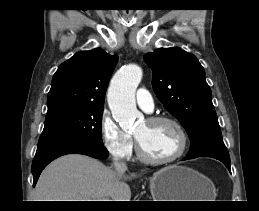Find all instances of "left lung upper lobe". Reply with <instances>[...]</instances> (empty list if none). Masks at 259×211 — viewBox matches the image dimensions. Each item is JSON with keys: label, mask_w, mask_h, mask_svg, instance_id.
Returning <instances> with one entry per match:
<instances>
[{"label": "left lung upper lobe", "mask_w": 259, "mask_h": 211, "mask_svg": "<svg viewBox=\"0 0 259 211\" xmlns=\"http://www.w3.org/2000/svg\"><path fill=\"white\" fill-rule=\"evenodd\" d=\"M144 59L153 70L155 94L190 137L187 156L208 152L228 155L211 89L198 59L178 47L157 49Z\"/></svg>", "instance_id": "left-lung-upper-lobe-1"}]
</instances>
